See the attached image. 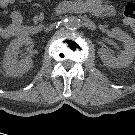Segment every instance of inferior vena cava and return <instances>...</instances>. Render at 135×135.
Wrapping results in <instances>:
<instances>
[{
	"label": "inferior vena cava",
	"instance_id": "1",
	"mask_svg": "<svg viewBox=\"0 0 135 135\" xmlns=\"http://www.w3.org/2000/svg\"><path fill=\"white\" fill-rule=\"evenodd\" d=\"M54 26H55L54 24L50 25L49 27L46 28L45 32H49L54 28Z\"/></svg>",
	"mask_w": 135,
	"mask_h": 135
}]
</instances>
